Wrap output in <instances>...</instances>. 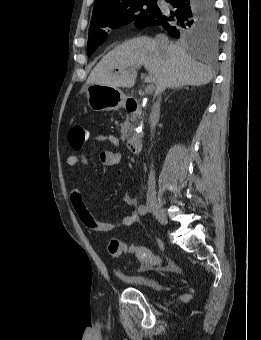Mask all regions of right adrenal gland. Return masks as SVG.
Listing matches in <instances>:
<instances>
[{"mask_svg":"<svg viewBox=\"0 0 261 340\" xmlns=\"http://www.w3.org/2000/svg\"><path fill=\"white\" fill-rule=\"evenodd\" d=\"M182 88H183V87L180 86V87H178L177 89H182ZM168 97H169V96H168ZM168 97L165 99V101H167Z\"/></svg>","mask_w":261,"mask_h":340,"instance_id":"obj_1","label":"right adrenal gland"}]
</instances>
